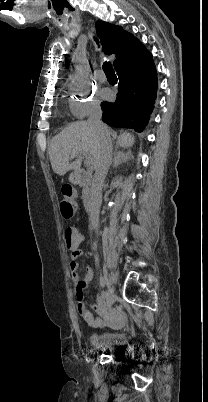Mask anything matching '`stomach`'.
<instances>
[{
    "mask_svg": "<svg viewBox=\"0 0 208 402\" xmlns=\"http://www.w3.org/2000/svg\"><path fill=\"white\" fill-rule=\"evenodd\" d=\"M69 182H72V184H79L80 178L77 176V174H70Z\"/></svg>",
    "mask_w": 208,
    "mask_h": 402,
    "instance_id": "1",
    "label": "stomach"
}]
</instances>
